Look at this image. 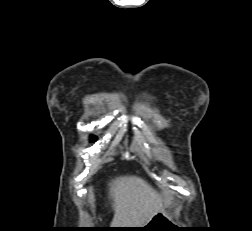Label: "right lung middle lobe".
<instances>
[{
    "mask_svg": "<svg viewBox=\"0 0 252 231\" xmlns=\"http://www.w3.org/2000/svg\"><path fill=\"white\" fill-rule=\"evenodd\" d=\"M97 138L95 136L91 137V141H95Z\"/></svg>",
    "mask_w": 252,
    "mask_h": 231,
    "instance_id": "right-lung-middle-lobe-1",
    "label": "right lung middle lobe"
}]
</instances>
